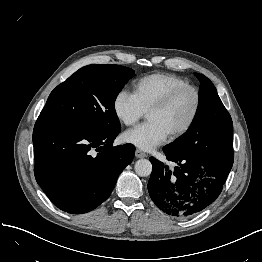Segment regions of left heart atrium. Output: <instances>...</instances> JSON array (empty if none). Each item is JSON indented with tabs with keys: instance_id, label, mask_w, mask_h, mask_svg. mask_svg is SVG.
Masks as SVG:
<instances>
[{
	"instance_id": "39dd6f15",
	"label": "left heart atrium",
	"mask_w": 262,
	"mask_h": 262,
	"mask_svg": "<svg viewBox=\"0 0 262 262\" xmlns=\"http://www.w3.org/2000/svg\"><path fill=\"white\" fill-rule=\"evenodd\" d=\"M168 134L155 121H148L124 133L127 143L133 144L142 150H152L166 141Z\"/></svg>"
}]
</instances>
